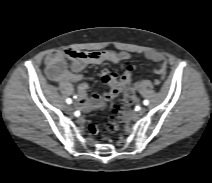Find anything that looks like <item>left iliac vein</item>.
Returning a JSON list of instances; mask_svg holds the SVG:
<instances>
[{"label": "left iliac vein", "instance_id": "obj_1", "mask_svg": "<svg viewBox=\"0 0 212 183\" xmlns=\"http://www.w3.org/2000/svg\"><path fill=\"white\" fill-rule=\"evenodd\" d=\"M145 112V108L140 110V113H144Z\"/></svg>", "mask_w": 212, "mask_h": 183}]
</instances>
